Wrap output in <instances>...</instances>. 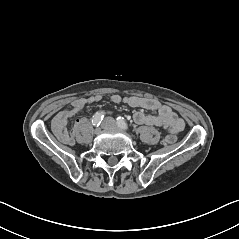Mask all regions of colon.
<instances>
[{"label":"colon","mask_w":239,"mask_h":239,"mask_svg":"<svg viewBox=\"0 0 239 239\" xmlns=\"http://www.w3.org/2000/svg\"><path fill=\"white\" fill-rule=\"evenodd\" d=\"M176 140V136L175 135H167L164 139H163V144L164 145H168L171 144L173 142H175Z\"/></svg>","instance_id":"1"}]
</instances>
